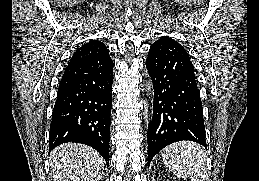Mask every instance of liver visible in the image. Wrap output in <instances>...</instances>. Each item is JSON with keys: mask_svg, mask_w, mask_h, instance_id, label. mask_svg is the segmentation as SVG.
Returning a JSON list of instances; mask_svg holds the SVG:
<instances>
[{"mask_svg": "<svg viewBox=\"0 0 259 181\" xmlns=\"http://www.w3.org/2000/svg\"><path fill=\"white\" fill-rule=\"evenodd\" d=\"M53 181H100L104 159L93 148L65 143L51 153Z\"/></svg>", "mask_w": 259, "mask_h": 181, "instance_id": "1", "label": "liver"}]
</instances>
